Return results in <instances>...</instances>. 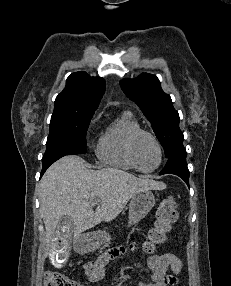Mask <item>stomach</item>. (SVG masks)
Here are the masks:
<instances>
[{
	"label": "stomach",
	"mask_w": 231,
	"mask_h": 286,
	"mask_svg": "<svg viewBox=\"0 0 231 286\" xmlns=\"http://www.w3.org/2000/svg\"><path fill=\"white\" fill-rule=\"evenodd\" d=\"M155 196L150 190H144L132 196L129 204L128 226L140 222L153 208ZM111 240L106 231H95L80 236L75 242V249L80 253H88L96 250Z\"/></svg>",
	"instance_id": "stomach-1"
}]
</instances>
